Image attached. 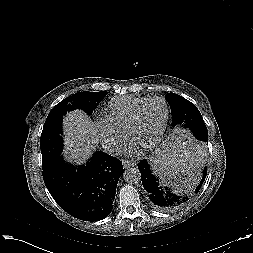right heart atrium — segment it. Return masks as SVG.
<instances>
[{
	"instance_id": "1",
	"label": "right heart atrium",
	"mask_w": 253,
	"mask_h": 253,
	"mask_svg": "<svg viewBox=\"0 0 253 253\" xmlns=\"http://www.w3.org/2000/svg\"><path fill=\"white\" fill-rule=\"evenodd\" d=\"M96 126L104 148L111 152L119 151L126 141L125 134L117 132L106 119L97 120Z\"/></svg>"
}]
</instances>
